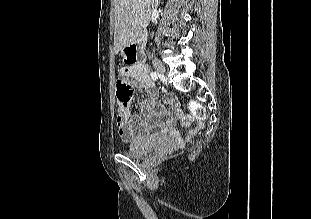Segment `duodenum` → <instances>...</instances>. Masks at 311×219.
<instances>
[{
  "label": "duodenum",
  "instance_id": "duodenum-1",
  "mask_svg": "<svg viewBox=\"0 0 311 219\" xmlns=\"http://www.w3.org/2000/svg\"><path fill=\"white\" fill-rule=\"evenodd\" d=\"M147 42L146 34L140 33L134 43L128 48V53L135 57L136 62L141 63L143 61V53Z\"/></svg>",
  "mask_w": 311,
  "mask_h": 219
}]
</instances>
